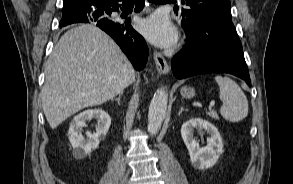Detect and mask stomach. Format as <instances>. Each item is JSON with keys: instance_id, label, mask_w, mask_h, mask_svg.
Returning <instances> with one entry per match:
<instances>
[{"instance_id": "obj_1", "label": "stomach", "mask_w": 293, "mask_h": 184, "mask_svg": "<svg viewBox=\"0 0 293 184\" xmlns=\"http://www.w3.org/2000/svg\"><path fill=\"white\" fill-rule=\"evenodd\" d=\"M180 93H181V95L184 97V98H188V99H190V98H192V97H194V95H195V90H194V88H192V87H182L181 88V90H180Z\"/></svg>"}]
</instances>
